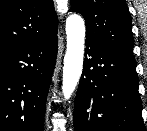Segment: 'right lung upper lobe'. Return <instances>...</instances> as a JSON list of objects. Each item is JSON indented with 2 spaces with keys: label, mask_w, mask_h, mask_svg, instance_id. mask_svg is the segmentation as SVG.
I'll return each mask as SVG.
<instances>
[{
  "label": "right lung upper lobe",
  "mask_w": 147,
  "mask_h": 131,
  "mask_svg": "<svg viewBox=\"0 0 147 131\" xmlns=\"http://www.w3.org/2000/svg\"><path fill=\"white\" fill-rule=\"evenodd\" d=\"M53 0H0V55L57 32Z\"/></svg>",
  "instance_id": "obj_1"
}]
</instances>
